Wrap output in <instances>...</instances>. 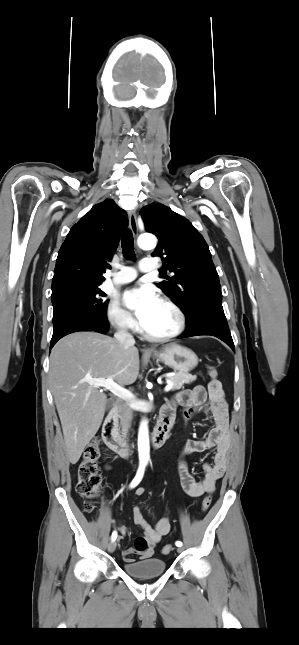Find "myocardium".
I'll return each mask as SVG.
<instances>
[{"mask_svg":"<svg viewBox=\"0 0 299 645\" xmlns=\"http://www.w3.org/2000/svg\"><path fill=\"white\" fill-rule=\"evenodd\" d=\"M160 302L163 303L165 306H167L175 315L176 317V325L175 328L165 334H151L147 332L143 327L140 328L141 334L148 340L150 341H155V342H162V341H168L171 339H174L181 335L183 331L185 330L186 327V317L182 309L171 299L167 297H162L160 299Z\"/></svg>","mask_w":299,"mask_h":645,"instance_id":"myocardium-1","label":"myocardium"}]
</instances>
